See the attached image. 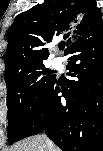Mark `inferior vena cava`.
<instances>
[{"label":"inferior vena cava","mask_w":103,"mask_h":151,"mask_svg":"<svg viewBox=\"0 0 103 151\" xmlns=\"http://www.w3.org/2000/svg\"><path fill=\"white\" fill-rule=\"evenodd\" d=\"M43 139H44V142H45L44 147L47 148V149H45V150H46V151H50L49 148L52 147V145H53L52 142L49 140V138H48L47 136H43Z\"/></svg>","instance_id":"inferior-vena-cava-1"}]
</instances>
